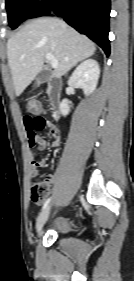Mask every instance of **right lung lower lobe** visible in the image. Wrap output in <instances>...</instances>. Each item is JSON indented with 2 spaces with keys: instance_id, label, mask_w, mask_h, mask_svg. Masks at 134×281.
<instances>
[{
  "instance_id": "1",
  "label": "right lung lower lobe",
  "mask_w": 134,
  "mask_h": 281,
  "mask_svg": "<svg viewBox=\"0 0 134 281\" xmlns=\"http://www.w3.org/2000/svg\"><path fill=\"white\" fill-rule=\"evenodd\" d=\"M55 12L80 33L89 36L108 56L110 0H43L30 18Z\"/></svg>"
}]
</instances>
